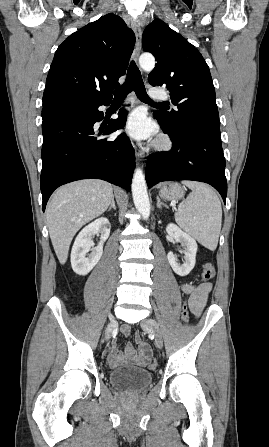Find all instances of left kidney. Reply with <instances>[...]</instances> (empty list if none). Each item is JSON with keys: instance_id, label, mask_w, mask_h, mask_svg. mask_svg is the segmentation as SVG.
Masks as SVG:
<instances>
[{"instance_id": "5707ae66", "label": "left kidney", "mask_w": 269, "mask_h": 447, "mask_svg": "<svg viewBox=\"0 0 269 447\" xmlns=\"http://www.w3.org/2000/svg\"><path fill=\"white\" fill-rule=\"evenodd\" d=\"M166 231L168 235H171V237L175 239V241H180V243L184 245V249L181 253H184L185 257L184 263H179L175 253L169 251V253H167L168 261L175 273H178V275H188L196 263L198 245L195 239H193L191 235H188V233H185V231H182L178 225L168 224Z\"/></svg>"}]
</instances>
